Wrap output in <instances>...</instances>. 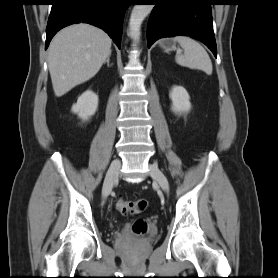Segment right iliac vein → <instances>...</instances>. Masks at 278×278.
Returning a JSON list of instances; mask_svg holds the SVG:
<instances>
[{"instance_id": "1", "label": "right iliac vein", "mask_w": 278, "mask_h": 278, "mask_svg": "<svg viewBox=\"0 0 278 278\" xmlns=\"http://www.w3.org/2000/svg\"><path fill=\"white\" fill-rule=\"evenodd\" d=\"M121 163L119 160H114L105 177L104 183H103V188H102V196L103 198H107V196L110 194L113 184L117 178L119 169H120Z\"/></svg>"}]
</instances>
